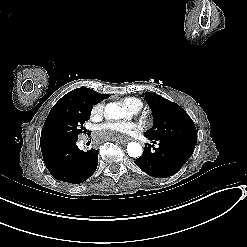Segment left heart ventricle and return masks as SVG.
<instances>
[{
	"label": "left heart ventricle",
	"mask_w": 247,
	"mask_h": 247,
	"mask_svg": "<svg viewBox=\"0 0 247 247\" xmlns=\"http://www.w3.org/2000/svg\"><path fill=\"white\" fill-rule=\"evenodd\" d=\"M129 120H123V121H121V123H126V122H128Z\"/></svg>",
	"instance_id": "1"
}]
</instances>
